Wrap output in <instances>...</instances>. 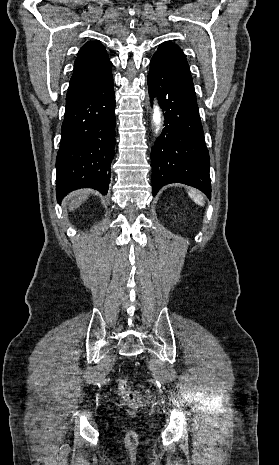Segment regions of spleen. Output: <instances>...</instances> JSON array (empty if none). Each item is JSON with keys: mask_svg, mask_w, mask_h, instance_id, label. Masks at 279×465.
<instances>
[{"mask_svg": "<svg viewBox=\"0 0 279 465\" xmlns=\"http://www.w3.org/2000/svg\"><path fill=\"white\" fill-rule=\"evenodd\" d=\"M188 195H189L190 198H191L195 203H197L198 205H200V206H203V205H204L203 197H202V195H200L199 193H197V192H195V191H190V192H188Z\"/></svg>", "mask_w": 279, "mask_h": 465, "instance_id": "3e777b00", "label": "spleen"}]
</instances>
